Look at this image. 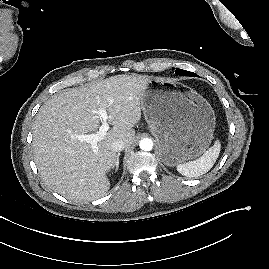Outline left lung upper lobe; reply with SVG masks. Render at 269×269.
I'll return each mask as SVG.
<instances>
[{"mask_svg": "<svg viewBox=\"0 0 269 269\" xmlns=\"http://www.w3.org/2000/svg\"><path fill=\"white\" fill-rule=\"evenodd\" d=\"M175 74L180 75V76H193V77H197V75L193 72L190 71H185L182 69H176Z\"/></svg>", "mask_w": 269, "mask_h": 269, "instance_id": "5c2ea615", "label": "left lung upper lobe"}]
</instances>
